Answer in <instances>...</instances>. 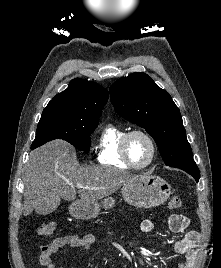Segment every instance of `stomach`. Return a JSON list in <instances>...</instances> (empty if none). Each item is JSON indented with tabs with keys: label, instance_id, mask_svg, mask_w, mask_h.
Here are the masks:
<instances>
[{
	"label": "stomach",
	"instance_id": "stomach-1",
	"mask_svg": "<svg viewBox=\"0 0 221 268\" xmlns=\"http://www.w3.org/2000/svg\"><path fill=\"white\" fill-rule=\"evenodd\" d=\"M122 195L128 204L148 209L165 203L171 195V186L159 176L138 175L123 185ZM114 203L112 197H107L102 202L103 208L111 209ZM100 209L97 201L78 200L70 206L69 211L77 219L89 220L96 217Z\"/></svg>",
	"mask_w": 221,
	"mask_h": 268
}]
</instances>
